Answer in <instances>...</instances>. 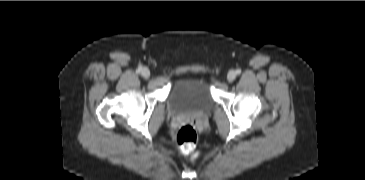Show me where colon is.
I'll return each instance as SVG.
<instances>
[{"mask_svg":"<svg viewBox=\"0 0 365 180\" xmlns=\"http://www.w3.org/2000/svg\"><path fill=\"white\" fill-rule=\"evenodd\" d=\"M197 133L191 124L182 125L176 132L174 142L180 152L191 154L197 143Z\"/></svg>","mask_w":365,"mask_h":180,"instance_id":"5ec220e1","label":"colon"}]
</instances>
